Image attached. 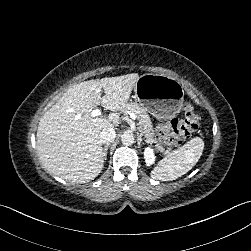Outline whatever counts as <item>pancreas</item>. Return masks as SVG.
Here are the masks:
<instances>
[{
    "mask_svg": "<svg viewBox=\"0 0 251 251\" xmlns=\"http://www.w3.org/2000/svg\"><path fill=\"white\" fill-rule=\"evenodd\" d=\"M130 111L134 113L138 119V129L145 137V141L149 144H156L160 151L164 148L158 143L153 130L152 122L146 110L142 108L137 102H127L121 106V112L126 113Z\"/></svg>",
    "mask_w": 251,
    "mask_h": 251,
    "instance_id": "1",
    "label": "pancreas"
}]
</instances>
